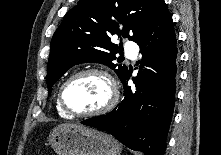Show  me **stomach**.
<instances>
[{
    "label": "stomach",
    "instance_id": "1",
    "mask_svg": "<svg viewBox=\"0 0 221 155\" xmlns=\"http://www.w3.org/2000/svg\"><path fill=\"white\" fill-rule=\"evenodd\" d=\"M49 141L57 155H120L122 149L112 136L76 124L56 126Z\"/></svg>",
    "mask_w": 221,
    "mask_h": 155
}]
</instances>
